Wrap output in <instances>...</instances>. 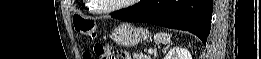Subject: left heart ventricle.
Returning a JSON list of instances; mask_svg holds the SVG:
<instances>
[{
  "label": "left heart ventricle",
  "mask_w": 261,
  "mask_h": 59,
  "mask_svg": "<svg viewBox=\"0 0 261 59\" xmlns=\"http://www.w3.org/2000/svg\"><path fill=\"white\" fill-rule=\"evenodd\" d=\"M127 2L125 0H98L96 3L100 8H108L112 6L119 5L121 3Z\"/></svg>",
  "instance_id": "b2bd125f"
}]
</instances>
